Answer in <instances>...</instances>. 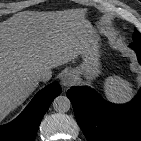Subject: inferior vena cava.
<instances>
[{"instance_id":"1","label":"inferior vena cava","mask_w":141,"mask_h":141,"mask_svg":"<svg viewBox=\"0 0 141 141\" xmlns=\"http://www.w3.org/2000/svg\"><path fill=\"white\" fill-rule=\"evenodd\" d=\"M52 74L49 71H42L39 70L34 74V77L38 80V81H48L51 78Z\"/></svg>"}]
</instances>
